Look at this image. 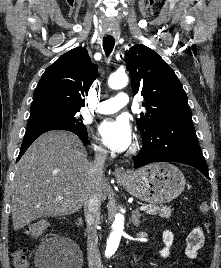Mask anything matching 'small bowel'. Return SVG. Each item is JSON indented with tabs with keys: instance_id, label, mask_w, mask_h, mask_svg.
I'll use <instances>...</instances> for the list:
<instances>
[{
	"instance_id": "obj_1",
	"label": "small bowel",
	"mask_w": 221,
	"mask_h": 268,
	"mask_svg": "<svg viewBox=\"0 0 221 268\" xmlns=\"http://www.w3.org/2000/svg\"><path fill=\"white\" fill-rule=\"evenodd\" d=\"M204 244V233L201 227H195L187 237L186 256L192 260L196 258L198 251Z\"/></svg>"
}]
</instances>
